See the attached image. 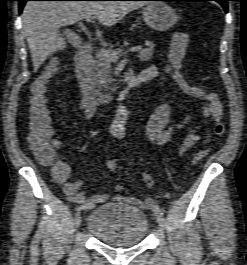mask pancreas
Here are the masks:
<instances>
[{
	"instance_id": "1",
	"label": "pancreas",
	"mask_w": 247,
	"mask_h": 265,
	"mask_svg": "<svg viewBox=\"0 0 247 265\" xmlns=\"http://www.w3.org/2000/svg\"><path fill=\"white\" fill-rule=\"evenodd\" d=\"M155 44L151 43L149 47L142 49L139 51L138 58L140 61H149L153 57ZM108 50L111 53L119 54L122 50L121 49H100L96 51V57L94 59V63L92 65V74L94 84L99 90H114L115 88L111 85L113 84L114 80L112 79V69L111 61L109 58L106 57L105 51Z\"/></svg>"
}]
</instances>
